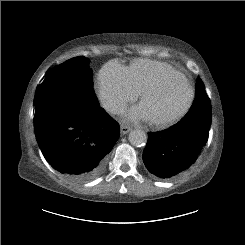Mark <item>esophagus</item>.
Returning <instances> with one entry per match:
<instances>
[{
	"instance_id": "esophagus-1",
	"label": "esophagus",
	"mask_w": 245,
	"mask_h": 245,
	"mask_svg": "<svg viewBox=\"0 0 245 245\" xmlns=\"http://www.w3.org/2000/svg\"><path fill=\"white\" fill-rule=\"evenodd\" d=\"M131 130H132V128H131L130 126H128V125L122 124V125L120 126V131H121V134H122V135L127 134V133L130 132Z\"/></svg>"
}]
</instances>
